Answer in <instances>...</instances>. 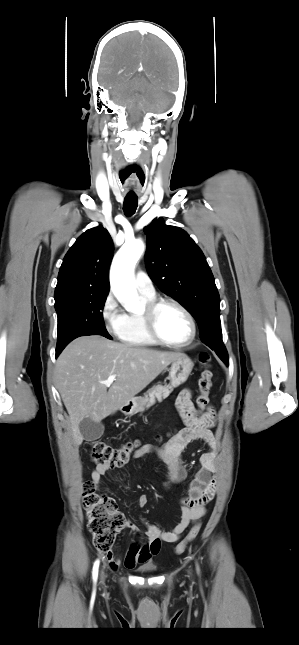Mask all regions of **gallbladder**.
I'll return each mask as SVG.
<instances>
[{
    "instance_id": "bac80fb5",
    "label": "gallbladder",
    "mask_w": 299,
    "mask_h": 645,
    "mask_svg": "<svg viewBox=\"0 0 299 645\" xmlns=\"http://www.w3.org/2000/svg\"><path fill=\"white\" fill-rule=\"evenodd\" d=\"M79 430L84 440L94 441L103 435L104 425L101 422H95L90 418H85L80 422Z\"/></svg>"
}]
</instances>
